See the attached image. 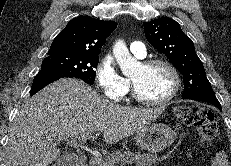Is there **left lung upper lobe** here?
Masks as SVG:
<instances>
[{
  "mask_svg": "<svg viewBox=\"0 0 231 166\" xmlns=\"http://www.w3.org/2000/svg\"><path fill=\"white\" fill-rule=\"evenodd\" d=\"M143 25L149 43L165 54L183 75V99L215 97L194 44L183 33L179 23L162 17Z\"/></svg>",
  "mask_w": 231,
  "mask_h": 166,
  "instance_id": "1",
  "label": "left lung upper lobe"
}]
</instances>
